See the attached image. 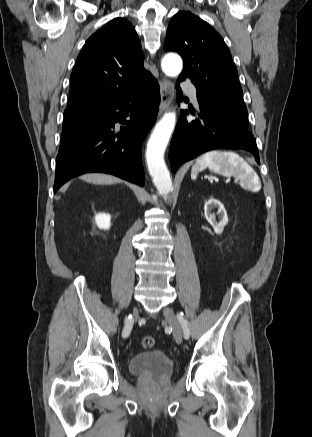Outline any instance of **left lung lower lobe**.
<instances>
[{
	"label": "left lung lower lobe",
	"instance_id": "1",
	"mask_svg": "<svg viewBox=\"0 0 312 437\" xmlns=\"http://www.w3.org/2000/svg\"><path fill=\"white\" fill-rule=\"evenodd\" d=\"M177 96L179 100L182 99L181 90H178ZM198 102L201 114L195 120H191L185 116L188 111H182L177 123L169 151L173 172L182 163L216 148L249 151L255 156L257 163H260L256 139L243 124L236 121L227 110L215 104ZM190 112L194 114V111Z\"/></svg>",
	"mask_w": 312,
	"mask_h": 437
}]
</instances>
